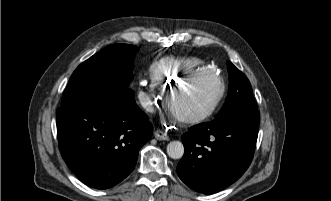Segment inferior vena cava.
<instances>
[{
  "mask_svg": "<svg viewBox=\"0 0 331 201\" xmlns=\"http://www.w3.org/2000/svg\"><path fill=\"white\" fill-rule=\"evenodd\" d=\"M140 102L147 111H153L152 101L148 96L144 95L140 97Z\"/></svg>",
  "mask_w": 331,
  "mask_h": 201,
  "instance_id": "obj_1",
  "label": "inferior vena cava"
}]
</instances>
